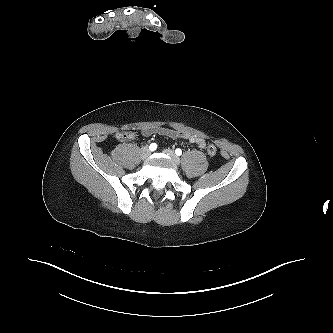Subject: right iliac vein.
I'll return each instance as SVG.
<instances>
[{
	"label": "right iliac vein",
	"mask_w": 333,
	"mask_h": 333,
	"mask_svg": "<svg viewBox=\"0 0 333 333\" xmlns=\"http://www.w3.org/2000/svg\"><path fill=\"white\" fill-rule=\"evenodd\" d=\"M150 153H151L150 148L143 147L142 154H141L142 159H147V157L149 156Z\"/></svg>",
	"instance_id": "right-iliac-vein-1"
}]
</instances>
